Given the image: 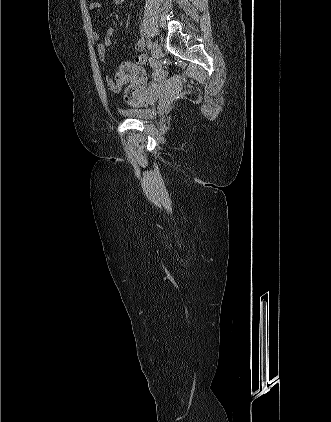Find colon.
<instances>
[{
    "label": "colon",
    "instance_id": "1",
    "mask_svg": "<svg viewBox=\"0 0 331 422\" xmlns=\"http://www.w3.org/2000/svg\"><path fill=\"white\" fill-rule=\"evenodd\" d=\"M163 72L164 71L162 69L157 71L159 75H162ZM144 77L145 72L141 67L134 63L126 62L120 65L112 80L114 83H125L129 81L141 80ZM125 98L128 101L135 102L144 97L139 96L138 91L133 86H129L125 91ZM144 99L147 100L146 97Z\"/></svg>",
    "mask_w": 331,
    "mask_h": 422
}]
</instances>
